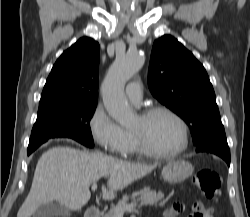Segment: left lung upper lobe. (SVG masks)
<instances>
[{"instance_id": "1", "label": "left lung upper lobe", "mask_w": 250, "mask_h": 217, "mask_svg": "<svg viewBox=\"0 0 250 217\" xmlns=\"http://www.w3.org/2000/svg\"><path fill=\"white\" fill-rule=\"evenodd\" d=\"M148 86L155 98L189 125L194 145L225 132L205 68L170 35L153 44Z\"/></svg>"}]
</instances>
